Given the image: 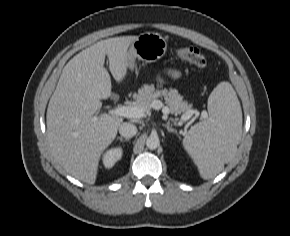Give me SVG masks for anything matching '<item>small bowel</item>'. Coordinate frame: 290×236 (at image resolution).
I'll return each mask as SVG.
<instances>
[{
  "mask_svg": "<svg viewBox=\"0 0 290 236\" xmlns=\"http://www.w3.org/2000/svg\"><path fill=\"white\" fill-rule=\"evenodd\" d=\"M168 75L173 77V78H179L180 77V73L177 70H169L168 71Z\"/></svg>",
  "mask_w": 290,
  "mask_h": 236,
  "instance_id": "1",
  "label": "small bowel"
}]
</instances>
